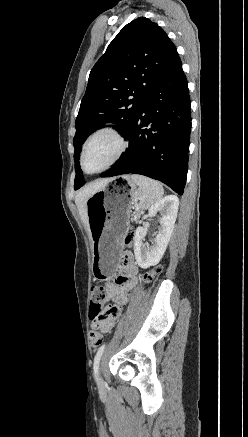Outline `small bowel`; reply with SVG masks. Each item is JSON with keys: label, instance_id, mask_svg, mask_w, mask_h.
I'll return each mask as SVG.
<instances>
[{"label": "small bowel", "instance_id": "obj_1", "mask_svg": "<svg viewBox=\"0 0 248 437\" xmlns=\"http://www.w3.org/2000/svg\"><path fill=\"white\" fill-rule=\"evenodd\" d=\"M122 271L114 282L108 283L106 286V300L114 303L111 308V313L99 322V328L103 333L109 332L115 320L118 318L121 308L127 303V294L137 284L138 268L133 261V256L130 252H126L123 256Z\"/></svg>", "mask_w": 248, "mask_h": 437}]
</instances>
